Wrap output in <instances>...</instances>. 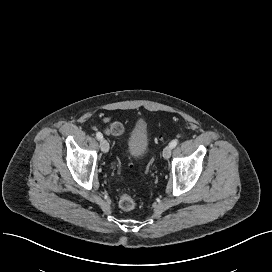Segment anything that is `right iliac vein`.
Here are the masks:
<instances>
[{"instance_id": "63e3f726", "label": "right iliac vein", "mask_w": 272, "mask_h": 272, "mask_svg": "<svg viewBox=\"0 0 272 272\" xmlns=\"http://www.w3.org/2000/svg\"><path fill=\"white\" fill-rule=\"evenodd\" d=\"M100 148L102 152L107 153L109 151V143L105 139L100 140Z\"/></svg>"}]
</instances>
